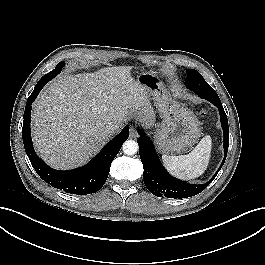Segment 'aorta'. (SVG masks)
<instances>
[{"label": "aorta", "mask_w": 265, "mask_h": 265, "mask_svg": "<svg viewBox=\"0 0 265 265\" xmlns=\"http://www.w3.org/2000/svg\"><path fill=\"white\" fill-rule=\"evenodd\" d=\"M123 152L127 155H134L138 151V144L134 140H127L124 142Z\"/></svg>", "instance_id": "obj_1"}]
</instances>
